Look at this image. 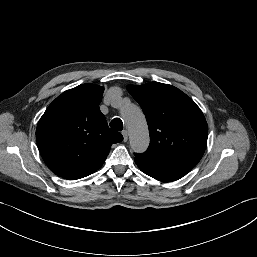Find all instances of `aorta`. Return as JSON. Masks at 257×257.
Segmentation results:
<instances>
[{
	"label": "aorta",
	"mask_w": 257,
	"mask_h": 257,
	"mask_svg": "<svg viewBox=\"0 0 257 257\" xmlns=\"http://www.w3.org/2000/svg\"><path fill=\"white\" fill-rule=\"evenodd\" d=\"M123 119L130 132V146L134 152L142 153L149 145L147 123L141 109L131 103L121 107Z\"/></svg>",
	"instance_id": "762f6f07"
}]
</instances>
